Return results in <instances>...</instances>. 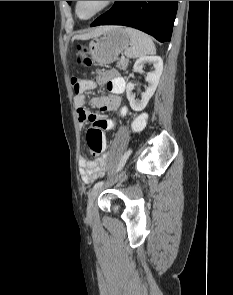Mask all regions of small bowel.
<instances>
[{
    "mask_svg": "<svg viewBox=\"0 0 233 295\" xmlns=\"http://www.w3.org/2000/svg\"><path fill=\"white\" fill-rule=\"evenodd\" d=\"M98 82L104 84L108 91L106 96L92 97L87 100L84 94H76L74 103L77 107V116L81 124L91 122L93 127L101 130H111L114 127V121L106 116L92 113L85 105L87 102L99 108L102 112L118 111L121 116L127 115V107L121 105L120 95L125 92L126 81L120 77L116 71L101 72L98 75ZM106 166V156L87 159L81 156L79 158V173L81 180L89 184L103 176Z\"/></svg>",
    "mask_w": 233,
    "mask_h": 295,
    "instance_id": "1",
    "label": "small bowel"
}]
</instances>
